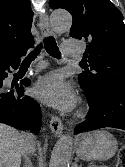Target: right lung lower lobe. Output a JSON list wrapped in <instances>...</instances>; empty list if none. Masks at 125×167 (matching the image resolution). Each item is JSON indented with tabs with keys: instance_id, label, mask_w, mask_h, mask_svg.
I'll use <instances>...</instances> for the list:
<instances>
[{
	"instance_id": "1",
	"label": "right lung lower lobe",
	"mask_w": 125,
	"mask_h": 167,
	"mask_svg": "<svg viewBox=\"0 0 125 167\" xmlns=\"http://www.w3.org/2000/svg\"><path fill=\"white\" fill-rule=\"evenodd\" d=\"M22 56L12 57L0 65V123L22 130L31 129V132L37 133L42 120L40 107L35 100L24 95L23 90V86L30 85V80L25 78L20 85L11 89L3 85L8 75L6 71L17 69Z\"/></svg>"
}]
</instances>
